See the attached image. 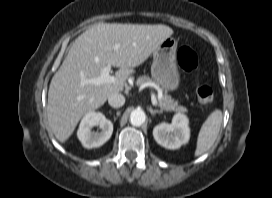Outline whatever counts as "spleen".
I'll return each mask as SVG.
<instances>
[{"instance_id":"obj_1","label":"spleen","mask_w":272,"mask_h":198,"mask_svg":"<svg viewBox=\"0 0 272 198\" xmlns=\"http://www.w3.org/2000/svg\"><path fill=\"white\" fill-rule=\"evenodd\" d=\"M222 111L219 109L214 110L203 123L197 138V146L195 156H200L207 152L217 139L221 124H222Z\"/></svg>"}]
</instances>
